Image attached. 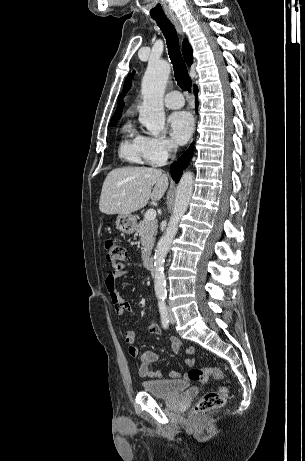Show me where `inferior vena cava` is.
Wrapping results in <instances>:
<instances>
[{"label":"inferior vena cava","mask_w":305,"mask_h":461,"mask_svg":"<svg viewBox=\"0 0 305 461\" xmlns=\"http://www.w3.org/2000/svg\"><path fill=\"white\" fill-rule=\"evenodd\" d=\"M170 147L175 148V150H176V146H175V145H171Z\"/></svg>","instance_id":"602c4592"}]
</instances>
